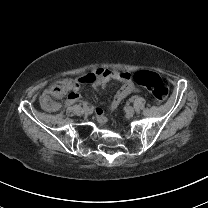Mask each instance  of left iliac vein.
Listing matches in <instances>:
<instances>
[{
  "label": "left iliac vein",
  "mask_w": 208,
  "mask_h": 208,
  "mask_svg": "<svg viewBox=\"0 0 208 208\" xmlns=\"http://www.w3.org/2000/svg\"><path fill=\"white\" fill-rule=\"evenodd\" d=\"M125 112L127 115L132 116L135 113V110L132 106H126Z\"/></svg>",
  "instance_id": "left-iliac-vein-1"
}]
</instances>
